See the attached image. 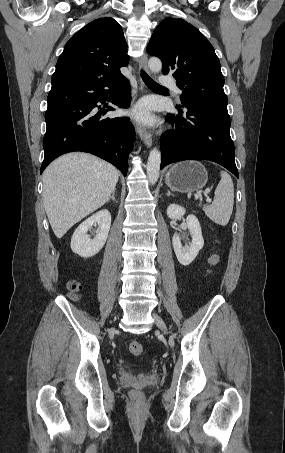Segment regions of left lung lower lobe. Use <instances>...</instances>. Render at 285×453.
Returning a JSON list of instances; mask_svg holds the SVG:
<instances>
[{"instance_id":"obj_1","label":"left lung lower lobe","mask_w":285,"mask_h":453,"mask_svg":"<svg viewBox=\"0 0 285 453\" xmlns=\"http://www.w3.org/2000/svg\"><path fill=\"white\" fill-rule=\"evenodd\" d=\"M176 108L179 114L166 115L174 129L161 138L160 168L189 159L210 160L238 177L227 107L192 102Z\"/></svg>"}]
</instances>
